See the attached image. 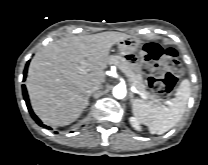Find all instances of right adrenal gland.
<instances>
[{"label": "right adrenal gland", "mask_w": 208, "mask_h": 165, "mask_svg": "<svg viewBox=\"0 0 208 165\" xmlns=\"http://www.w3.org/2000/svg\"><path fill=\"white\" fill-rule=\"evenodd\" d=\"M91 95L90 94H88V96H87V100H86V104H85V108L88 106V104H89V97H90Z\"/></svg>", "instance_id": "2a0ac1e0"}]
</instances>
